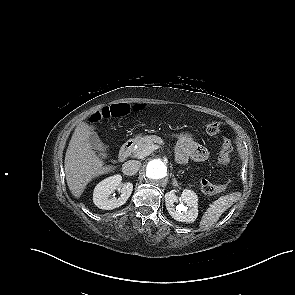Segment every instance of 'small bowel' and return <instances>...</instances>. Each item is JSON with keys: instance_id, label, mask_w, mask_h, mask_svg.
Here are the masks:
<instances>
[{"instance_id": "c3829d8e", "label": "small bowel", "mask_w": 295, "mask_h": 295, "mask_svg": "<svg viewBox=\"0 0 295 295\" xmlns=\"http://www.w3.org/2000/svg\"><path fill=\"white\" fill-rule=\"evenodd\" d=\"M208 151L189 134H180L176 146V158L181 164L189 160L204 162L208 159Z\"/></svg>"}]
</instances>
